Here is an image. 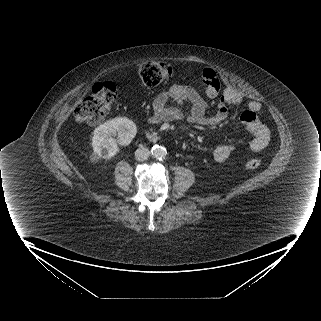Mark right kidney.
Returning <instances> with one entry per match:
<instances>
[{
	"instance_id": "1",
	"label": "right kidney",
	"mask_w": 321,
	"mask_h": 321,
	"mask_svg": "<svg viewBox=\"0 0 321 321\" xmlns=\"http://www.w3.org/2000/svg\"><path fill=\"white\" fill-rule=\"evenodd\" d=\"M136 133L135 123L127 117H116L108 120L93 132V151L98 158L110 159L116 155L118 144L129 145ZM112 136H117V139Z\"/></svg>"
}]
</instances>
